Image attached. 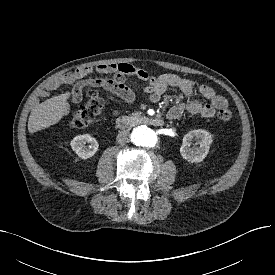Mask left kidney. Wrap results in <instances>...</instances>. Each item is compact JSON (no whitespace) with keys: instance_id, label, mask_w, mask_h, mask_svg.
<instances>
[{"instance_id":"5707ae66","label":"left kidney","mask_w":275,"mask_h":275,"mask_svg":"<svg viewBox=\"0 0 275 275\" xmlns=\"http://www.w3.org/2000/svg\"><path fill=\"white\" fill-rule=\"evenodd\" d=\"M194 140L197 141L199 147H190ZM211 143L212 137L209 132L202 129L189 131L183 137L180 154L189 163H200L207 156Z\"/></svg>"}]
</instances>
